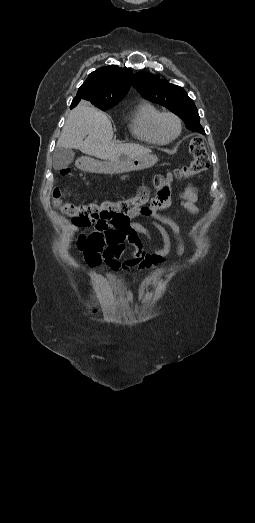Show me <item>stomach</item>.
I'll return each mask as SVG.
<instances>
[{
	"label": "stomach",
	"mask_w": 255,
	"mask_h": 523,
	"mask_svg": "<svg viewBox=\"0 0 255 523\" xmlns=\"http://www.w3.org/2000/svg\"><path fill=\"white\" fill-rule=\"evenodd\" d=\"M156 163V160L150 156H142V158H131L124 164L110 165L108 167V174L110 176H119L121 172H134V170H145L151 168Z\"/></svg>",
	"instance_id": "obj_1"
}]
</instances>
